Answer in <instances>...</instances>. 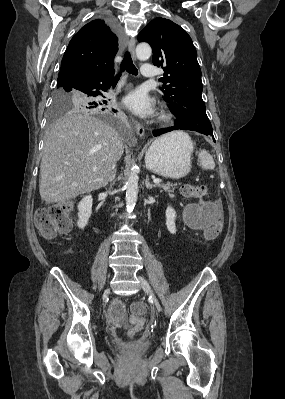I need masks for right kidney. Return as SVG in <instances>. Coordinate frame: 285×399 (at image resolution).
I'll list each match as a JSON object with an SVG mask.
<instances>
[{
  "label": "right kidney",
  "mask_w": 285,
  "mask_h": 399,
  "mask_svg": "<svg viewBox=\"0 0 285 399\" xmlns=\"http://www.w3.org/2000/svg\"><path fill=\"white\" fill-rule=\"evenodd\" d=\"M92 196L87 195L85 196L78 205V217L79 220L77 222V225L80 229H84L85 226L88 224L89 218L92 213Z\"/></svg>",
  "instance_id": "1"
}]
</instances>
